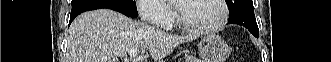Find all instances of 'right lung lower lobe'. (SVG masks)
<instances>
[{
  "label": "right lung lower lobe",
  "mask_w": 331,
  "mask_h": 62,
  "mask_svg": "<svg viewBox=\"0 0 331 62\" xmlns=\"http://www.w3.org/2000/svg\"><path fill=\"white\" fill-rule=\"evenodd\" d=\"M100 9V8H99ZM90 10H94V9H90ZM114 10V9H113ZM85 11H89V10H81V11H78V12H74V13H71V15H70V21H69V24L80 14V13H82V12H85ZM115 11H118V12H120V13H122V14H124V15H126V16H128V17H130L129 15H127V14H125V13H123V12H121V11H119V10H115ZM132 18V17H131Z\"/></svg>",
  "instance_id": "right-lung-lower-lobe-1"
}]
</instances>
